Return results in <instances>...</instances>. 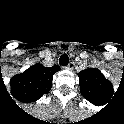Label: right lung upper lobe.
I'll return each mask as SVG.
<instances>
[{
    "instance_id": "1",
    "label": "right lung upper lobe",
    "mask_w": 124,
    "mask_h": 124,
    "mask_svg": "<svg viewBox=\"0 0 124 124\" xmlns=\"http://www.w3.org/2000/svg\"><path fill=\"white\" fill-rule=\"evenodd\" d=\"M59 69L57 65L50 68L41 64L33 65L24 73L15 76L14 85L24 95L26 102L34 101L49 92L53 74Z\"/></svg>"
}]
</instances>
